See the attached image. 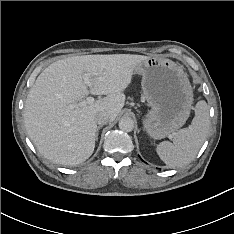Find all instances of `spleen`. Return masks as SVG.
Here are the masks:
<instances>
[{
    "mask_svg": "<svg viewBox=\"0 0 234 234\" xmlns=\"http://www.w3.org/2000/svg\"><path fill=\"white\" fill-rule=\"evenodd\" d=\"M210 127L209 107L203 100L195 107L191 124L175 133L173 143L161 142L157 148L160 159L169 167L189 164L203 145Z\"/></svg>",
    "mask_w": 234,
    "mask_h": 234,
    "instance_id": "3e777b00",
    "label": "spleen"
}]
</instances>
